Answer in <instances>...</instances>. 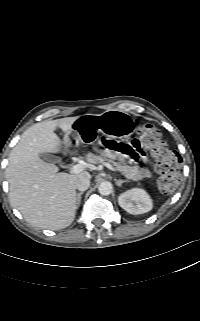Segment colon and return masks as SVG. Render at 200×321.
<instances>
[{"mask_svg":"<svg viewBox=\"0 0 200 321\" xmlns=\"http://www.w3.org/2000/svg\"><path fill=\"white\" fill-rule=\"evenodd\" d=\"M147 152L154 159V168L159 175L158 184L161 191L171 193L180 184V156L171 150L162 139L159 130L152 125H143L138 131Z\"/></svg>","mask_w":200,"mask_h":321,"instance_id":"1","label":"colon"}]
</instances>
